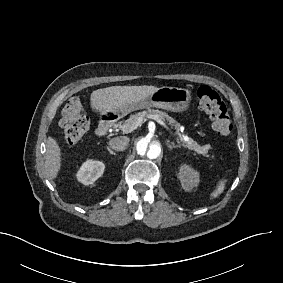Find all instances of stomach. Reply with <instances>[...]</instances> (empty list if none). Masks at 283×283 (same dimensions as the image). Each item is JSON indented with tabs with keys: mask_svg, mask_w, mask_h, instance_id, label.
<instances>
[{
	"mask_svg": "<svg viewBox=\"0 0 283 283\" xmlns=\"http://www.w3.org/2000/svg\"><path fill=\"white\" fill-rule=\"evenodd\" d=\"M191 93L188 89L163 86L156 88L148 97L138 102L126 103L117 108L118 117L140 109L150 107L181 112L188 108Z\"/></svg>",
	"mask_w": 283,
	"mask_h": 283,
	"instance_id": "1",
	"label": "stomach"
}]
</instances>
